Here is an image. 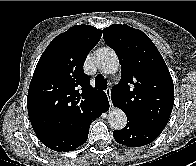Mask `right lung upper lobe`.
<instances>
[{"label": "right lung upper lobe", "instance_id": "obj_1", "mask_svg": "<svg viewBox=\"0 0 196 166\" xmlns=\"http://www.w3.org/2000/svg\"><path fill=\"white\" fill-rule=\"evenodd\" d=\"M101 35L93 26L76 25L56 36L41 55L27 97L36 135L78 128L96 102L108 100L104 92L90 86V77L83 71Z\"/></svg>", "mask_w": 196, "mask_h": 166}]
</instances>
